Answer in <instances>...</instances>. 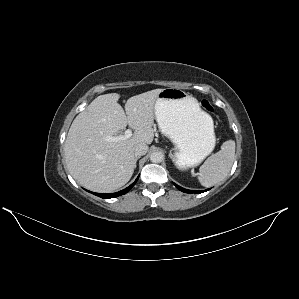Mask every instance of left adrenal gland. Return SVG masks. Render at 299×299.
I'll list each match as a JSON object with an SVG mask.
<instances>
[{"instance_id":"a2214340","label":"left adrenal gland","mask_w":299,"mask_h":299,"mask_svg":"<svg viewBox=\"0 0 299 299\" xmlns=\"http://www.w3.org/2000/svg\"><path fill=\"white\" fill-rule=\"evenodd\" d=\"M170 157L172 158V154H171V152H170Z\"/></svg>"}]
</instances>
